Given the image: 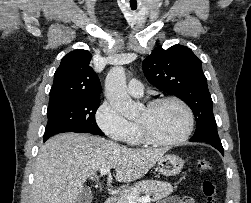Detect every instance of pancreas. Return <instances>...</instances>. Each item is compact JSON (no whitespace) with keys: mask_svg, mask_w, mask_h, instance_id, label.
<instances>
[{"mask_svg":"<svg viewBox=\"0 0 251 203\" xmlns=\"http://www.w3.org/2000/svg\"><path fill=\"white\" fill-rule=\"evenodd\" d=\"M172 191L173 187L168 182L158 180H144L124 189V191L117 198V203H129L128 196L139 197V195L141 194L151 196L152 201H157L171 194Z\"/></svg>","mask_w":251,"mask_h":203,"instance_id":"pancreas-1","label":"pancreas"}]
</instances>
